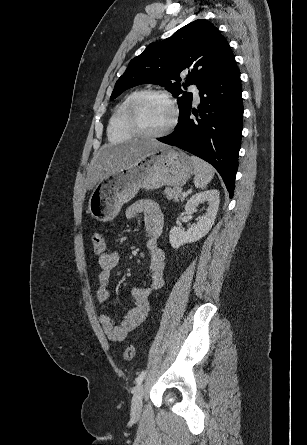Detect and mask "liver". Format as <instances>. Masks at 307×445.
Wrapping results in <instances>:
<instances>
[{
	"label": "liver",
	"mask_w": 307,
	"mask_h": 445,
	"mask_svg": "<svg viewBox=\"0 0 307 445\" xmlns=\"http://www.w3.org/2000/svg\"><path fill=\"white\" fill-rule=\"evenodd\" d=\"M165 146L168 144L156 142V140H137L132 144H119V146L104 144L99 148L94 162L88 166L86 178L88 190L94 188L95 184L106 174L115 172L118 168L133 166L137 160H140L145 154H149L151 150L165 148Z\"/></svg>",
	"instance_id": "obj_1"
}]
</instances>
